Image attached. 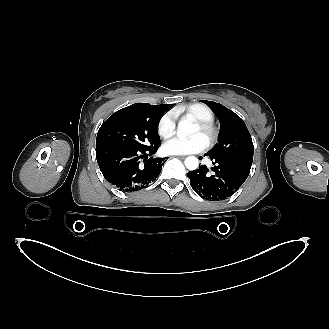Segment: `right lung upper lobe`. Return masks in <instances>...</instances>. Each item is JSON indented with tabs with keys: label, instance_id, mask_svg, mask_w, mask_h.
<instances>
[{
	"label": "right lung upper lobe",
	"instance_id": "right-lung-upper-lobe-1",
	"mask_svg": "<svg viewBox=\"0 0 329 329\" xmlns=\"http://www.w3.org/2000/svg\"><path fill=\"white\" fill-rule=\"evenodd\" d=\"M140 103H136V104H133L131 106H128V107H125L117 112H115L111 117H115V116H118V115H122V114H125V113H128V112H131L132 110H134L136 107L139 106ZM173 104H164V106H171ZM172 107V106H171ZM110 117V118H111Z\"/></svg>",
	"mask_w": 329,
	"mask_h": 329
}]
</instances>
